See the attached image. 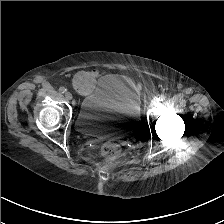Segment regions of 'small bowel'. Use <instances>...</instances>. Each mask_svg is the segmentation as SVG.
<instances>
[{
    "label": "small bowel",
    "instance_id": "c3829d8e",
    "mask_svg": "<svg viewBox=\"0 0 224 224\" xmlns=\"http://www.w3.org/2000/svg\"><path fill=\"white\" fill-rule=\"evenodd\" d=\"M93 74L94 75H99V71L95 69V70H93Z\"/></svg>",
    "mask_w": 224,
    "mask_h": 224
}]
</instances>
